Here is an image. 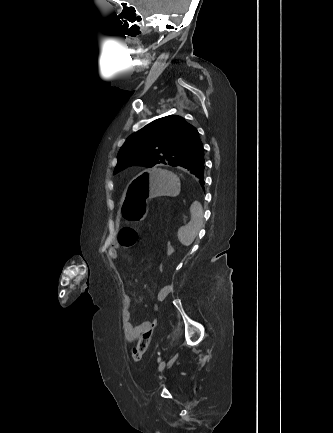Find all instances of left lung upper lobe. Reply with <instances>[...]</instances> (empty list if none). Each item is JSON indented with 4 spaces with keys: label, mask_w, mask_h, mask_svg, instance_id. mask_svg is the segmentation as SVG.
I'll list each match as a JSON object with an SVG mask.
<instances>
[{
    "label": "left lung upper lobe",
    "mask_w": 333,
    "mask_h": 433,
    "mask_svg": "<svg viewBox=\"0 0 333 433\" xmlns=\"http://www.w3.org/2000/svg\"><path fill=\"white\" fill-rule=\"evenodd\" d=\"M201 145L197 129L184 118L162 117L128 137L118 153L114 174L132 165L179 167Z\"/></svg>",
    "instance_id": "1"
}]
</instances>
